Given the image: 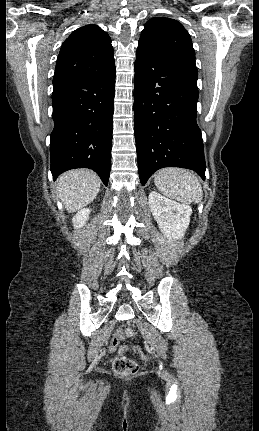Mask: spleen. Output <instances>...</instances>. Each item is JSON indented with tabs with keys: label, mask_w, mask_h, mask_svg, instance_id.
Instances as JSON below:
<instances>
[{
	"label": "spleen",
	"mask_w": 259,
	"mask_h": 431,
	"mask_svg": "<svg viewBox=\"0 0 259 431\" xmlns=\"http://www.w3.org/2000/svg\"><path fill=\"white\" fill-rule=\"evenodd\" d=\"M154 183L165 196L184 204L199 203L203 198L198 178L182 168H164L154 175Z\"/></svg>",
	"instance_id": "1"
}]
</instances>
